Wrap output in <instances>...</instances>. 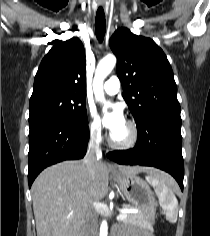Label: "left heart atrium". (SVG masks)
I'll list each match as a JSON object with an SVG mask.
<instances>
[{
	"label": "left heart atrium",
	"mask_w": 210,
	"mask_h": 236,
	"mask_svg": "<svg viewBox=\"0 0 210 236\" xmlns=\"http://www.w3.org/2000/svg\"><path fill=\"white\" fill-rule=\"evenodd\" d=\"M102 120L111 133L115 132L125 123L122 108L116 104L106 103L102 108Z\"/></svg>",
	"instance_id": "39dd6f15"
}]
</instances>
